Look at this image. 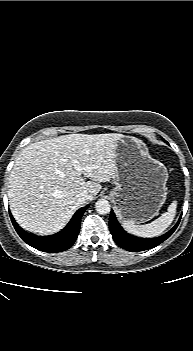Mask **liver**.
Instances as JSON below:
<instances>
[{"label":"liver","instance_id":"6515ba94","mask_svg":"<svg viewBox=\"0 0 193 351\" xmlns=\"http://www.w3.org/2000/svg\"><path fill=\"white\" fill-rule=\"evenodd\" d=\"M122 136L70 134L24 148L9 178V205L17 223L40 235L61 230L80 206L77 195L85 191L93 200L100 183L114 177L116 142ZM73 159L84 168L80 174Z\"/></svg>","mask_w":193,"mask_h":351}]
</instances>
